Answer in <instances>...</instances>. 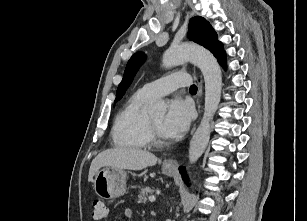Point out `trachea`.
<instances>
[{"instance_id": "trachea-1", "label": "trachea", "mask_w": 307, "mask_h": 221, "mask_svg": "<svg viewBox=\"0 0 307 221\" xmlns=\"http://www.w3.org/2000/svg\"><path fill=\"white\" fill-rule=\"evenodd\" d=\"M190 92L196 93L197 92V86L196 85H191L190 86Z\"/></svg>"}]
</instances>
